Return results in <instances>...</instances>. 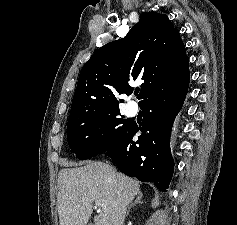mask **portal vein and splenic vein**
<instances>
[{
	"label": "portal vein and splenic vein",
	"mask_w": 237,
	"mask_h": 225,
	"mask_svg": "<svg viewBox=\"0 0 237 225\" xmlns=\"http://www.w3.org/2000/svg\"><path fill=\"white\" fill-rule=\"evenodd\" d=\"M95 205L105 210V207L99 201H95Z\"/></svg>",
	"instance_id": "1"
}]
</instances>
